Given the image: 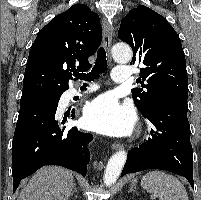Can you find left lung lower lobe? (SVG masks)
I'll list each match as a JSON object with an SVG mask.
<instances>
[{
  "mask_svg": "<svg viewBox=\"0 0 201 200\" xmlns=\"http://www.w3.org/2000/svg\"><path fill=\"white\" fill-rule=\"evenodd\" d=\"M187 110V99L184 98L168 97L153 102L142 113L153 125L151 137L130 150L121 176L146 169H161L184 176L194 188Z\"/></svg>",
  "mask_w": 201,
  "mask_h": 200,
  "instance_id": "0a47b994",
  "label": "left lung lower lobe"
}]
</instances>
